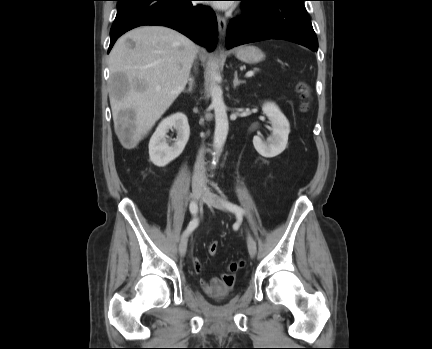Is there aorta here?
Wrapping results in <instances>:
<instances>
[{"instance_id": "762f6f07", "label": "aorta", "mask_w": 432, "mask_h": 349, "mask_svg": "<svg viewBox=\"0 0 432 349\" xmlns=\"http://www.w3.org/2000/svg\"><path fill=\"white\" fill-rule=\"evenodd\" d=\"M217 65L215 62L211 63V78L212 84L210 87L211 94V107L214 109L215 114V132H214V158L219 156L229 130V123L227 117V107L223 100V91L218 84L220 76L216 72Z\"/></svg>"}]
</instances>
